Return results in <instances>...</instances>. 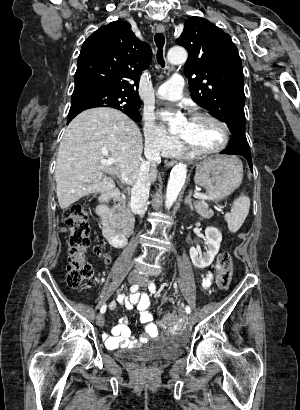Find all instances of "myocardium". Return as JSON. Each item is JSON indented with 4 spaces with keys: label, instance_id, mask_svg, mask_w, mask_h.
I'll list each match as a JSON object with an SVG mask.
<instances>
[{
    "label": "myocardium",
    "instance_id": "obj_1",
    "mask_svg": "<svg viewBox=\"0 0 300 410\" xmlns=\"http://www.w3.org/2000/svg\"><path fill=\"white\" fill-rule=\"evenodd\" d=\"M198 119H208L211 120L213 122H215L222 130L223 132V141L222 143L214 148V149H210V150H200L196 147H194L192 144H190L187 140H185L184 138L181 137V140L185 146V148L193 155L196 156H209L212 154H216L221 152L222 150H224L230 140V131L228 126L226 125V123L224 121H222L220 118H218L217 116L207 113V112H197L195 113L191 120H198Z\"/></svg>",
    "mask_w": 300,
    "mask_h": 410
}]
</instances>
